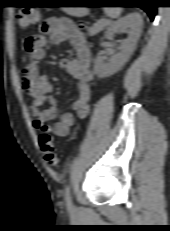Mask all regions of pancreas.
<instances>
[{
  "instance_id": "pancreas-1",
  "label": "pancreas",
  "mask_w": 170,
  "mask_h": 231,
  "mask_svg": "<svg viewBox=\"0 0 170 231\" xmlns=\"http://www.w3.org/2000/svg\"><path fill=\"white\" fill-rule=\"evenodd\" d=\"M109 22L107 20H100L97 23H95L92 27L88 28V33L90 36H94L100 31H102Z\"/></svg>"
}]
</instances>
